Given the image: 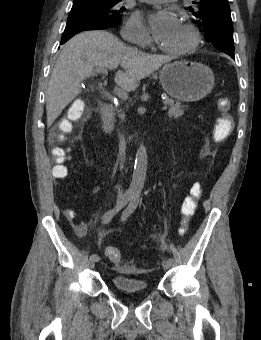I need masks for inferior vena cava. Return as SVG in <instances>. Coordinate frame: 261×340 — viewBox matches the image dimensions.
Wrapping results in <instances>:
<instances>
[{"mask_svg":"<svg viewBox=\"0 0 261 340\" xmlns=\"http://www.w3.org/2000/svg\"><path fill=\"white\" fill-rule=\"evenodd\" d=\"M126 152V143H125V137L120 136V144H119V157H120V169H123V164L125 162V153ZM123 195V190L121 187H118V197H122Z\"/></svg>","mask_w":261,"mask_h":340,"instance_id":"1","label":"inferior vena cava"}]
</instances>
